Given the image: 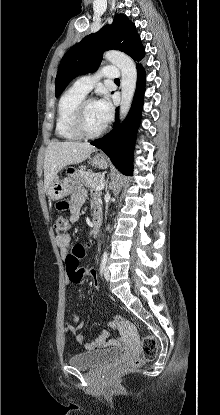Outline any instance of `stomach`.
<instances>
[{"label":"stomach","instance_id":"0dacf381","mask_svg":"<svg viewBox=\"0 0 220 415\" xmlns=\"http://www.w3.org/2000/svg\"><path fill=\"white\" fill-rule=\"evenodd\" d=\"M93 166L100 169L107 168V160L101 154H96L90 158ZM77 187V176H68L64 179L56 177L47 189V194L52 200H60L71 194Z\"/></svg>","mask_w":220,"mask_h":415}]
</instances>
